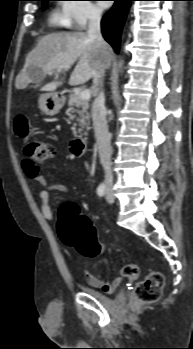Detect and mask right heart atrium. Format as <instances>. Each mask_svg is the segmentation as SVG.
<instances>
[{"instance_id":"obj_1","label":"right heart atrium","mask_w":193,"mask_h":349,"mask_svg":"<svg viewBox=\"0 0 193 349\" xmlns=\"http://www.w3.org/2000/svg\"><path fill=\"white\" fill-rule=\"evenodd\" d=\"M62 13L68 24L76 29H84L102 16L101 8L91 0H64Z\"/></svg>"}]
</instances>
